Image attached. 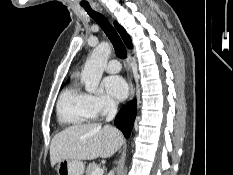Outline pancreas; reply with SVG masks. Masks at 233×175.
Masks as SVG:
<instances>
[{"label":"pancreas","instance_id":"obj_1","mask_svg":"<svg viewBox=\"0 0 233 175\" xmlns=\"http://www.w3.org/2000/svg\"><path fill=\"white\" fill-rule=\"evenodd\" d=\"M99 168L97 164L95 163H90L88 166H87V170H86V175H92L94 170Z\"/></svg>","mask_w":233,"mask_h":175}]
</instances>
